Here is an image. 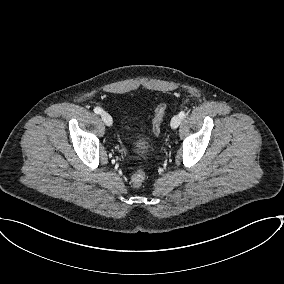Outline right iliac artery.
I'll use <instances>...</instances> for the list:
<instances>
[{"mask_svg": "<svg viewBox=\"0 0 284 284\" xmlns=\"http://www.w3.org/2000/svg\"><path fill=\"white\" fill-rule=\"evenodd\" d=\"M94 112H95L96 114H101V113H102V109L99 108V107H95V108H94Z\"/></svg>", "mask_w": 284, "mask_h": 284, "instance_id": "82829eb1", "label": "right iliac artery"}]
</instances>
